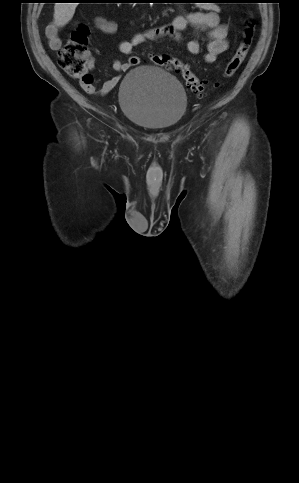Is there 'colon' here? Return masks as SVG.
<instances>
[{
  "mask_svg": "<svg viewBox=\"0 0 299 483\" xmlns=\"http://www.w3.org/2000/svg\"><path fill=\"white\" fill-rule=\"evenodd\" d=\"M254 19L252 15L247 14L243 22V30L241 40L226 64L222 78H232L237 70L244 62L254 35ZM89 39V30L86 25H80L69 36L68 41L63 45L59 52V65L71 77L80 81L85 89L93 88V77L87 71V44ZM150 62L165 70H176L181 73L185 83L197 95H204L208 87L201 81L180 59L174 58L168 54H151ZM218 82L214 84L215 87Z\"/></svg>",
  "mask_w": 299,
  "mask_h": 483,
  "instance_id": "5ec220e1",
  "label": "colon"
}]
</instances>
